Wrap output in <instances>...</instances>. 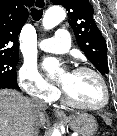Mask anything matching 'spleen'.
<instances>
[{
  "label": "spleen",
  "instance_id": "3e777b00",
  "mask_svg": "<svg viewBox=\"0 0 117 136\" xmlns=\"http://www.w3.org/2000/svg\"><path fill=\"white\" fill-rule=\"evenodd\" d=\"M108 124H111V121L109 119L106 120Z\"/></svg>",
  "mask_w": 117,
  "mask_h": 136
}]
</instances>
